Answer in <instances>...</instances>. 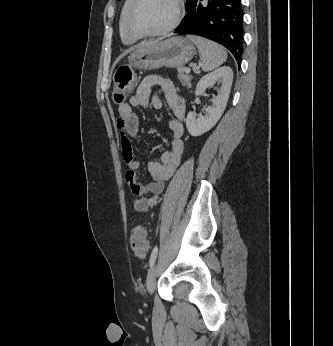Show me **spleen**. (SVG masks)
<instances>
[{
    "label": "spleen",
    "instance_id": "3e777b00",
    "mask_svg": "<svg viewBox=\"0 0 333 346\" xmlns=\"http://www.w3.org/2000/svg\"><path fill=\"white\" fill-rule=\"evenodd\" d=\"M188 38L195 43L199 50L203 71H211L226 61L227 53L217 43L194 35H189Z\"/></svg>",
    "mask_w": 333,
    "mask_h": 346
}]
</instances>
